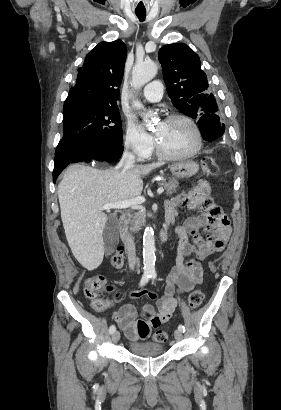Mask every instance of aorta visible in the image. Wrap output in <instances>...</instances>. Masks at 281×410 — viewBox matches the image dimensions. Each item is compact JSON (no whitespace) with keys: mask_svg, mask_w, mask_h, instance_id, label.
I'll use <instances>...</instances> for the list:
<instances>
[{"mask_svg":"<svg viewBox=\"0 0 281 410\" xmlns=\"http://www.w3.org/2000/svg\"><path fill=\"white\" fill-rule=\"evenodd\" d=\"M157 74V65L154 62H142L134 66L132 71V84L135 89H139L149 81H151ZM133 106L140 110L144 106L139 101H133ZM144 121L149 120V115H143ZM155 239L154 231L151 226H147L143 235V263L144 273L149 275L155 273Z\"/></svg>","mask_w":281,"mask_h":410,"instance_id":"762f6f07","label":"aorta"}]
</instances>
